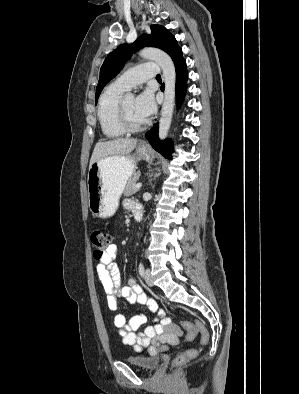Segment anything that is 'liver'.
<instances>
[{"instance_id": "obj_1", "label": "liver", "mask_w": 299, "mask_h": 394, "mask_svg": "<svg viewBox=\"0 0 299 394\" xmlns=\"http://www.w3.org/2000/svg\"><path fill=\"white\" fill-rule=\"evenodd\" d=\"M137 140L119 138L109 141H99L93 150L90 166L97 160L110 156H128L136 147ZM89 166V167H90Z\"/></svg>"}]
</instances>
